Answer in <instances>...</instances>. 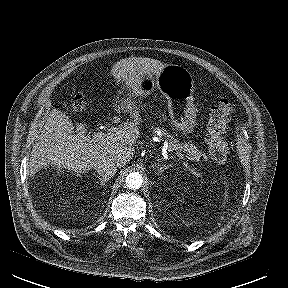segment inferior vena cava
<instances>
[{"label":"inferior vena cava","instance_id":"602c4592","mask_svg":"<svg viewBox=\"0 0 288 288\" xmlns=\"http://www.w3.org/2000/svg\"><path fill=\"white\" fill-rule=\"evenodd\" d=\"M94 169L102 178H111L116 174L117 164L113 159H102L95 163Z\"/></svg>","mask_w":288,"mask_h":288}]
</instances>
